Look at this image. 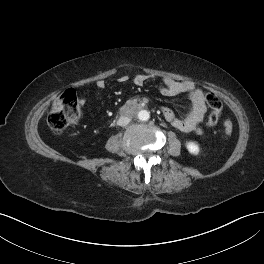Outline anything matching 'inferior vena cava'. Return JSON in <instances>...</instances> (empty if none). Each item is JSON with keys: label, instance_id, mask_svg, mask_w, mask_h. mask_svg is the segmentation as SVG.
Returning <instances> with one entry per match:
<instances>
[{"label": "inferior vena cava", "instance_id": "1", "mask_svg": "<svg viewBox=\"0 0 264 264\" xmlns=\"http://www.w3.org/2000/svg\"><path fill=\"white\" fill-rule=\"evenodd\" d=\"M131 121L130 117H125V116H121L118 121H117V125L119 126H126L127 124H129V122Z\"/></svg>", "mask_w": 264, "mask_h": 264}]
</instances>
